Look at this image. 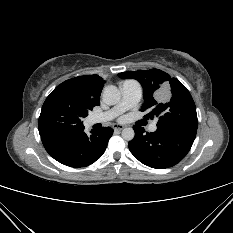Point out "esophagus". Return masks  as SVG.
<instances>
[{"mask_svg": "<svg viewBox=\"0 0 233 233\" xmlns=\"http://www.w3.org/2000/svg\"><path fill=\"white\" fill-rule=\"evenodd\" d=\"M126 126L125 125H120V124H114L113 125V129L114 130H122V129H124Z\"/></svg>", "mask_w": 233, "mask_h": 233, "instance_id": "esophagus-1", "label": "esophagus"}]
</instances>
